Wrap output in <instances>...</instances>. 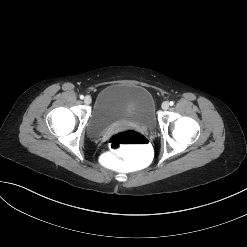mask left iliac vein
<instances>
[{
	"label": "left iliac vein",
	"mask_w": 247,
	"mask_h": 247,
	"mask_svg": "<svg viewBox=\"0 0 247 247\" xmlns=\"http://www.w3.org/2000/svg\"><path fill=\"white\" fill-rule=\"evenodd\" d=\"M168 108H169V103L166 102V101L163 102V103H162V109H163V110H167Z\"/></svg>",
	"instance_id": "left-iliac-vein-1"
}]
</instances>
